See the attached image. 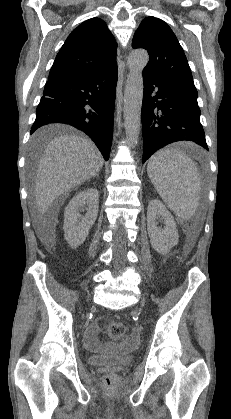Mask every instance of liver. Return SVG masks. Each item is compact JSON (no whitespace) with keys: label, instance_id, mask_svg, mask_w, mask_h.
I'll return each mask as SVG.
<instances>
[{"label":"liver","instance_id":"1","mask_svg":"<svg viewBox=\"0 0 231 419\" xmlns=\"http://www.w3.org/2000/svg\"><path fill=\"white\" fill-rule=\"evenodd\" d=\"M48 128L39 129L34 141L42 142ZM104 159L90 140L64 134L54 138L45 148L39 161L35 178V202L41 216L45 215L53 201L95 176L102 168ZM54 230L42 231L41 239L53 243Z\"/></svg>","mask_w":231,"mask_h":419}]
</instances>
